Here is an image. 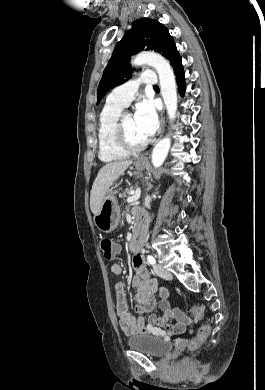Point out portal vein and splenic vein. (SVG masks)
Returning <instances> with one entry per match:
<instances>
[{"label":"portal vein and splenic vein","mask_w":265,"mask_h":390,"mask_svg":"<svg viewBox=\"0 0 265 390\" xmlns=\"http://www.w3.org/2000/svg\"><path fill=\"white\" fill-rule=\"evenodd\" d=\"M141 195V189L137 188L136 191H132V196L127 198L128 203H132L137 201L140 198Z\"/></svg>","instance_id":"18ae733b"}]
</instances>
